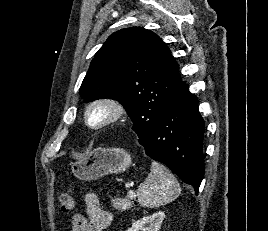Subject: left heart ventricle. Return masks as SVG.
<instances>
[{
	"instance_id": "left-heart-ventricle-1",
	"label": "left heart ventricle",
	"mask_w": 268,
	"mask_h": 231,
	"mask_svg": "<svg viewBox=\"0 0 268 231\" xmlns=\"http://www.w3.org/2000/svg\"><path fill=\"white\" fill-rule=\"evenodd\" d=\"M107 115L106 109L103 107H97L91 110L89 118L92 123H97L103 120Z\"/></svg>"
}]
</instances>
